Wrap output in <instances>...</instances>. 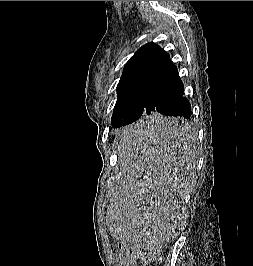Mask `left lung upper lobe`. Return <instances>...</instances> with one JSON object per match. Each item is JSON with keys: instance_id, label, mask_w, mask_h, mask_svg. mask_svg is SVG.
Returning a JSON list of instances; mask_svg holds the SVG:
<instances>
[{"instance_id": "obj_1", "label": "left lung upper lobe", "mask_w": 253, "mask_h": 266, "mask_svg": "<svg viewBox=\"0 0 253 266\" xmlns=\"http://www.w3.org/2000/svg\"><path fill=\"white\" fill-rule=\"evenodd\" d=\"M166 52L153 42L139 48L123 69L117 85V101L113 110V127L142 121L150 84L166 56Z\"/></svg>"}]
</instances>
